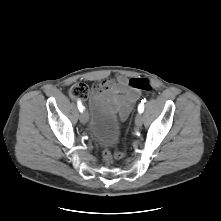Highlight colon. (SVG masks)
Returning a JSON list of instances; mask_svg holds the SVG:
<instances>
[{
	"mask_svg": "<svg viewBox=\"0 0 221 221\" xmlns=\"http://www.w3.org/2000/svg\"><path fill=\"white\" fill-rule=\"evenodd\" d=\"M129 86L137 91H150L152 89L151 81L148 78H132L129 80ZM89 95V88L84 82H77L70 89V96L74 99L86 101ZM103 159L106 163H111L114 159H121L125 156L124 151H111L108 148L103 150Z\"/></svg>",
	"mask_w": 221,
	"mask_h": 221,
	"instance_id": "colon-1",
	"label": "colon"
}]
</instances>
